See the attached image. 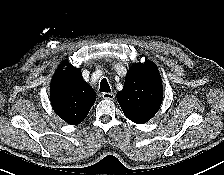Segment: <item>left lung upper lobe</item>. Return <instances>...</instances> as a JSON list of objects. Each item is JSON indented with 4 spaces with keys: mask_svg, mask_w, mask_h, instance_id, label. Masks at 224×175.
<instances>
[{
    "mask_svg": "<svg viewBox=\"0 0 224 175\" xmlns=\"http://www.w3.org/2000/svg\"><path fill=\"white\" fill-rule=\"evenodd\" d=\"M162 98V80L156 65L151 61L132 66L123 90L117 93V100L125 116L138 124L149 121L156 114Z\"/></svg>",
    "mask_w": 224,
    "mask_h": 175,
    "instance_id": "5c2ea615",
    "label": "left lung upper lobe"
}]
</instances>
